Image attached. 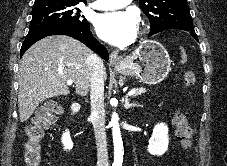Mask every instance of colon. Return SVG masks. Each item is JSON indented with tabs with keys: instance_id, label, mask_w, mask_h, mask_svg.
I'll return each instance as SVG.
<instances>
[{
	"instance_id": "obj_1",
	"label": "colon",
	"mask_w": 227,
	"mask_h": 166,
	"mask_svg": "<svg viewBox=\"0 0 227 166\" xmlns=\"http://www.w3.org/2000/svg\"><path fill=\"white\" fill-rule=\"evenodd\" d=\"M178 60L182 65L189 63V55L185 49H181ZM194 77V71L188 69L184 76L185 85H192ZM60 112L61 106L56 100H48L37 110L32 123L27 128V138L24 143L23 162L26 166H40L43 139L47 129ZM173 124L179 142L183 147L188 148L191 142V128L185 115L177 112Z\"/></svg>"
}]
</instances>
